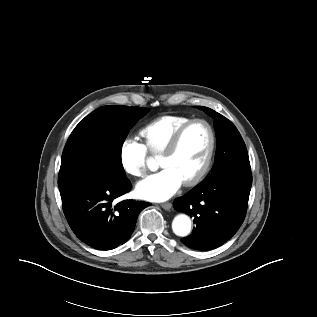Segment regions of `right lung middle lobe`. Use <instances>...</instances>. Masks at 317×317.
Here are the masks:
<instances>
[{
    "mask_svg": "<svg viewBox=\"0 0 317 317\" xmlns=\"http://www.w3.org/2000/svg\"><path fill=\"white\" fill-rule=\"evenodd\" d=\"M150 109L103 106L86 116L71 133L61 158L58 186L64 188L82 173L111 167L125 173L121 150L129 130Z\"/></svg>",
    "mask_w": 317,
    "mask_h": 317,
    "instance_id": "1",
    "label": "right lung middle lobe"
}]
</instances>
